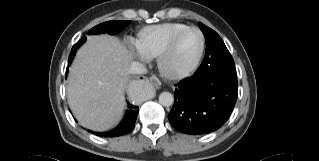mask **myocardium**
Instances as JSON below:
<instances>
[{"mask_svg":"<svg viewBox=\"0 0 319 161\" xmlns=\"http://www.w3.org/2000/svg\"><path fill=\"white\" fill-rule=\"evenodd\" d=\"M190 30L197 31L199 33V36H200V47H199V51L197 53V56L188 67H186L184 69H180V70L173 69L168 64L169 56H170L171 52L173 51L174 46H175L176 42L178 41V39L185 32L190 31ZM204 48H205L204 35L198 27L191 26V27H186L184 29L177 31L176 33H174L170 37L164 50L159 55V58H158L159 72L161 73L162 76L169 78V79H181V78L189 76L191 73H193L197 69L198 65L200 64V61H201L203 53H204Z\"/></svg>","mask_w":319,"mask_h":161,"instance_id":"obj_1","label":"myocardium"}]
</instances>
